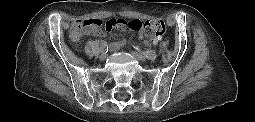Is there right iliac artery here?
Listing matches in <instances>:
<instances>
[{"label": "right iliac artery", "mask_w": 255, "mask_h": 122, "mask_svg": "<svg viewBox=\"0 0 255 122\" xmlns=\"http://www.w3.org/2000/svg\"><path fill=\"white\" fill-rule=\"evenodd\" d=\"M101 50L107 52V50H108V45H107L106 42H102V43H101Z\"/></svg>", "instance_id": "82829eb1"}]
</instances>
